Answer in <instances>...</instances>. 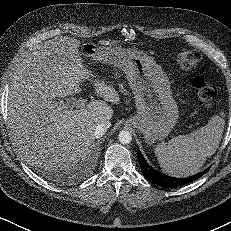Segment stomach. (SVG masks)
Returning a JSON list of instances; mask_svg holds the SVG:
<instances>
[{
    "label": "stomach",
    "instance_id": "obj_1",
    "mask_svg": "<svg viewBox=\"0 0 231 231\" xmlns=\"http://www.w3.org/2000/svg\"><path fill=\"white\" fill-rule=\"evenodd\" d=\"M85 64L106 63L125 72L134 94L137 114L125 124L137 128L149 145L166 138L178 119L167 74L152 57L129 48L92 46L82 53Z\"/></svg>",
    "mask_w": 231,
    "mask_h": 231
}]
</instances>
